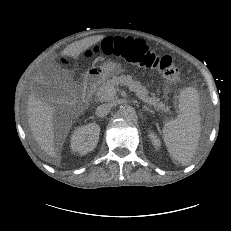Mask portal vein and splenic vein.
Instances as JSON below:
<instances>
[{"mask_svg": "<svg viewBox=\"0 0 231 231\" xmlns=\"http://www.w3.org/2000/svg\"><path fill=\"white\" fill-rule=\"evenodd\" d=\"M117 90H118V88L114 87V88H111V89L109 90V92H110L111 94H115Z\"/></svg>", "mask_w": 231, "mask_h": 231, "instance_id": "18ae733b", "label": "portal vein and splenic vein"}]
</instances>
